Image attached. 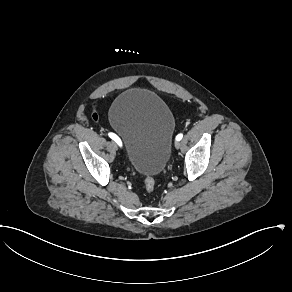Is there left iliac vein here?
I'll use <instances>...</instances> for the list:
<instances>
[{
  "label": "left iliac vein",
  "instance_id": "left-iliac-vein-1",
  "mask_svg": "<svg viewBox=\"0 0 292 292\" xmlns=\"http://www.w3.org/2000/svg\"><path fill=\"white\" fill-rule=\"evenodd\" d=\"M175 147H176L177 149H179V148L181 147V143H180L179 141H176V142H175Z\"/></svg>",
  "mask_w": 292,
  "mask_h": 292
}]
</instances>
